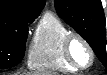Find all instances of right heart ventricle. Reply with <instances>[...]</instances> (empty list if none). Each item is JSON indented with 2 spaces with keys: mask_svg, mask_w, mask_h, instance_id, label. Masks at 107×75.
<instances>
[{
  "mask_svg": "<svg viewBox=\"0 0 107 75\" xmlns=\"http://www.w3.org/2000/svg\"><path fill=\"white\" fill-rule=\"evenodd\" d=\"M71 31L54 14L46 13L34 32L28 53V66L38 71L74 72L63 55V40Z\"/></svg>",
  "mask_w": 107,
  "mask_h": 75,
  "instance_id": "1",
  "label": "right heart ventricle"
}]
</instances>
